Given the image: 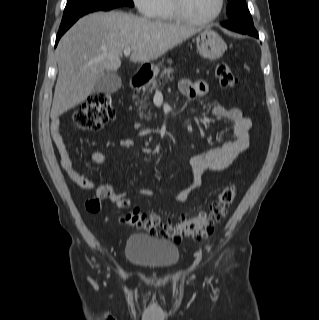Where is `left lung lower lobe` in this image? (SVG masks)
<instances>
[{
  "label": "left lung lower lobe",
  "instance_id": "0a47b994",
  "mask_svg": "<svg viewBox=\"0 0 319 320\" xmlns=\"http://www.w3.org/2000/svg\"><path fill=\"white\" fill-rule=\"evenodd\" d=\"M221 25L224 26L225 28H228V29L235 31V32H239L242 34H249V35L254 36L256 38L259 37L254 26H250V25H246V24H242V23L231 22V21L223 22V23H221Z\"/></svg>",
  "mask_w": 319,
  "mask_h": 320
}]
</instances>
